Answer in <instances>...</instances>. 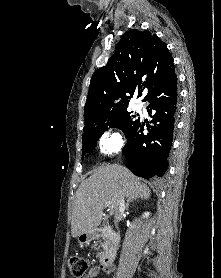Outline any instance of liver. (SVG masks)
I'll list each match as a JSON object with an SVG mask.
<instances>
[{
  "instance_id": "obj_1",
  "label": "liver",
  "mask_w": 221,
  "mask_h": 278,
  "mask_svg": "<svg viewBox=\"0 0 221 278\" xmlns=\"http://www.w3.org/2000/svg\"><path fill=\"white\" fill-rule=\"evenodd\" d=\"M150 189L126 167L102 164L79 185L72 209V237L94 231L101 223L103 209L110 202V214L121 196L149 199Z\"/></svg>"
}]
</instances>
